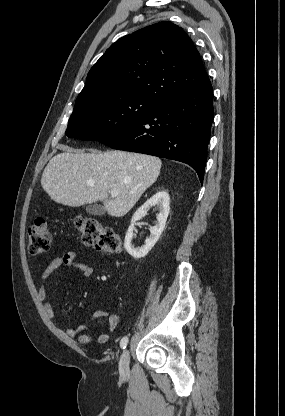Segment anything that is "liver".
Masks as SVG:
<instances>
[{
	"instance_id": "obj_1",
	"label": "liver",
	"mask_w": 285,
	"mask_h": 416,
	"mask_svg": "<svg viewBox=\"0 0 285 416\" xmlns=\"http://www.w3.org/2000/svg\"><path fill=\"white\" fill-rule=\"evenodd\" d=\"M57 154L47 164L41 186L51 200L63 206L78 208L103 202L109 216L122 218L135 206L142 194L156 182L162 162L155 156L131 152H98L72 150L58 146ZM118 196L108 200V192Z\"/></svg>"
}]
</instances>
